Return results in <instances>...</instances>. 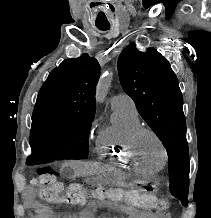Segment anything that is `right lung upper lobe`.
<instances>
[{
	"label": "right lung upper lobe",
	"instance_id": "right-lung-upper-lobe-1",
	"mask_svg": "<svg viewBox=\"0 0 211 218\" xmlns=\"http://www.w3.org/2000/svg\"><path fill=\"white\" fill-rule=\"evenodd\" d=\"M99 75V63L87 54L63 61L41 87L35 108L94 114Z\"/></svg>",
	"mask_w": 211,
	"mask_h": 218
}]
</instances>
